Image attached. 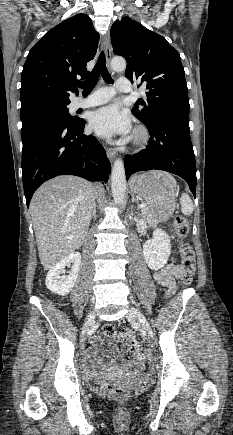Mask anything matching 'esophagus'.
I'll return each mask as SVG.
<instances>
[{
    "label": "esophagus",
    "instance_id": "34e87169",
    "mask_svg": "<svg viewBox=\"0 0 233 435\" xmlns=\"http://www.w3.org/2000/svg\"><path fill=\"white\" fill-rule=\"evenodd\" d=\"M102 48H103V50L105 52L106 60H107V62L109 64L110 61H111V57H112V48H111V41H110V31H107L105 36L103 37ZM112 74H114V72H112ZM106 152H107V156H108L109 160L111 162H113V160L115 158V151L112 148H107Z\"/></svg>",
    "mask_w": 233,
    "mask_h": 435
}]
</instances>
